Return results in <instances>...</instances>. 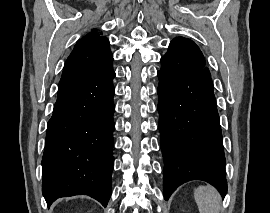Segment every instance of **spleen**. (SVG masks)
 Here are the masks:
<instances>
[{
    "instance_id": "obj_1",
    "label": "spleen",
    "mask_w": 270,
    "mask_h": 213,
    "mask_svg": "<svg viewBox=\"0 0 270 213\" xmlns=\"http://www.w3.org/2000/svg\"><path fill=\"white\" fill-rule=\"evenodd\" d=\"M194 199L199 213H219L221 196L212 186H199L194 190Z\"/></svg>"
}]
</instances>
